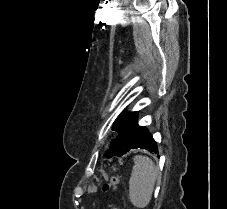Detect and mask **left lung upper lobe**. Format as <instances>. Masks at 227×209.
<instances>
[{"label":"left lung upper lobe","mask_w":227,"mask_h":209,"mask_svg":"<svg viewBox=\"0 0 227 209\" xmlns=\"http://www.w3.org/2000/svg\"><path fill=\"white\" fill-rule=\"evenodd\" d=\"M137 117V112H122L116 119L112 129L118 132V136L112 141L113 148L106 152L107 157H121L130 149L139 128Z\"/></svg>","instance_id":"obj_1"}]
</instances>
